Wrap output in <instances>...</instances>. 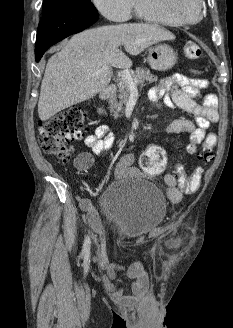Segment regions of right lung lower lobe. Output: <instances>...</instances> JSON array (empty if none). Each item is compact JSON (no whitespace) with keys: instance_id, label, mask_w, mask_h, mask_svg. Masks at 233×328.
I'll return each mask as SVG.
<instances>
[{"instance_id":"1","label":"right lung lower lobe","mask_w":233,"mask_h":328,"mask_svg":"<svg viewBox=\"0 0 233 328\" xmlns=\"http://www.w3.org/2000/svg\"><path fill=\"white\" fill-rule=\"evenodd\" d=\"M98 19V12L70 9L43 8V17L38 25L35 58L38 62L45 51L55 43L89 27Z\"/></svg>"}]
</instances>
